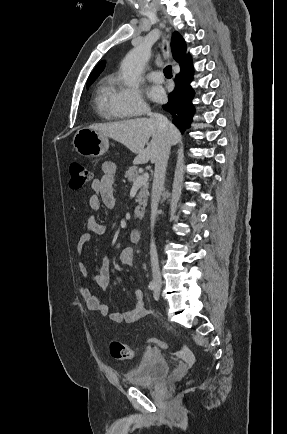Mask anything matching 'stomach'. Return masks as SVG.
<instances>
[{"mask_svg": "<svg viewBox=\"0 0 287 434\" xmlns=\"http://www.w3.org/2000/svg\"><path fill=\"white\" fill-rule=\"evenodd\" d=\"M73 146L80 155L94 158L108 151L109 140L93 129L82 128L74 135Z\"/></svg>", "mask_w": 287, "mask_h": 434, "instance_id": "1", "label": "stomach"}]
</instances>
